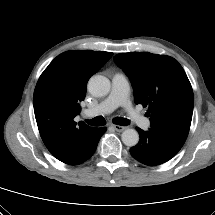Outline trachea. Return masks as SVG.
Segmentation results:
<instances>
[{
	"label": "trachea",
	"instance_id": "trachea-1",
	"mask_svg": "<svg viewBox=\"0 0 215 215\" xmlns=\"http://www.w3.org/2000/svg\"><path fill=\"white\" fill-rule=\"evenodd\" d=\"M91 126H104L106 124V120L102 116L95 117L91 120H86ZM113 123L121 126H126L129 124V120L122 117H116L113 119Z\"/></svg>",
	"mask_w": 215,
	"mask_h": 215
}]
</instances>
